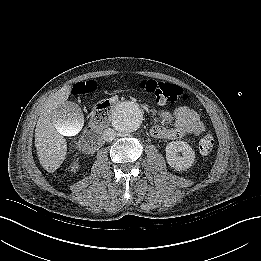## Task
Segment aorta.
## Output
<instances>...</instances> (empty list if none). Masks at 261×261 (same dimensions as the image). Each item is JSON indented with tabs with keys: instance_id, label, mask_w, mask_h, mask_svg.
Listing matches in <instances>:
<instances>
[{
	"instance_id": "762f6f07",
	"label": "aorta",
	"mask_w": 261,
	"mask_h": 261,
	"mask_svg": "<svg viewBox=\"0 0 261 261\" xmlns=\"http://www.w3.org/2000/svg\"><path fill=\"white\" fill-rule=\"evenodd\" d=\"M143 121V112L134 102H122L111 114V123L120 133H132L139 129Z\"/></svg>"
}]
</instances>
